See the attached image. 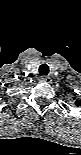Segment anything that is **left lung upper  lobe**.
I'll use <instances>...</instances> for the list:
<instances>
[{
  "label": "left lung upper lobe",
  "instance_id": "5c2ea615",
  "mask_svg": "<svg viewBox=\"0 0 81 155\" xmlns=\"http://www.w3.org/2000/svg\"><path fill=\"white\" fill-rule=\"evenodd\" d=\"M79 103H80V101H79V100H77V101H76V105H77V106H79Z\"/></svg>",
  "mask_w": 81,
  "mask_h": 155
}]
</instances>
